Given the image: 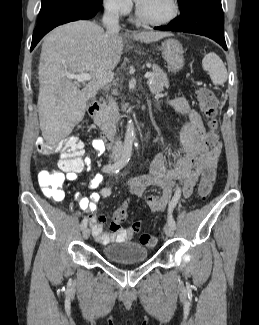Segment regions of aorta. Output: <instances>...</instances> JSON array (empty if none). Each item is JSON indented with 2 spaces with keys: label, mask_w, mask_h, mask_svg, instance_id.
Returning <instances> with one entry per match:
<instances>
[{
  "label": "aorta",
  "mask_w": 259,
  "mask_h": 325,
  "mask_svg": "<svg viewBox=\"0 0 259 325\" xmlns=\"http://www.w3.org/2000/svg\"><path fill=\"white\" fill-rule=\"evenodd\" d=\"M125 136L128 140H131V141L136 140V133H135V128H134V124H133L132 120H129L127 123Z\"/></svg>",
  "instance_id": "obj_1"
}]
</instances>
